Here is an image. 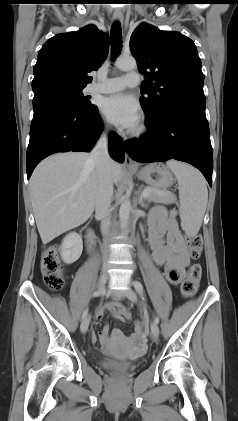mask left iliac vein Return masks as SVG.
<instances>
[{"label": "left iliac vein", "instance_id": "1", "mask_svg": "<svg viewBox=\"0 0 238 421\" xmlns=\"http://www.w3.org/2000/svg\"><path fill=\"white\" fill-rule=\"evenodd\" d=\"M126 295H127L128 299L131 300L132 302L137 301L136 293L132 289H128L126 291ZM150 328H151V336L154 339H157L158 336H159V327H158L157 323L152 322Z\"/></svg>", "mask_w": 238, "mask_h": 421}]
</instances>
